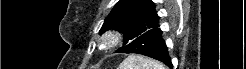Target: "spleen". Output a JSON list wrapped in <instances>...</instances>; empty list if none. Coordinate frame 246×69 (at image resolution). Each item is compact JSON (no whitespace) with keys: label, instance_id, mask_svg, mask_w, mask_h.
Here are the masks:
<instances>
[{"label":"spleen","instance_id":"spleen-1","mask_svg":"<svg viewBox=\"0 0 246 69\" xmlns=\"http://www.w3.org/2000/svg\"><path fill=\"white\" fill-rule=\"evenodd\" d=\"M119 69H166L165 66L152 59L138 55H129L120 65Z\"/></svg>","mask_w":246,"mask_h":69}]
</instances>
